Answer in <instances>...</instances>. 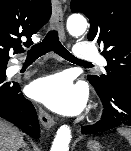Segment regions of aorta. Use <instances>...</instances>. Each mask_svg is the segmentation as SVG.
<instances>
[{"label":"aorta","mask_w":131,"mask_h":151,"mask_svg":"<svg viewBox=\"0 0 131 151\" xmlns=\"http://www.w3.org/2000/svg\"><path fill=\"white\" fill-rule=\"evenodd\" d=\"M87 29V21L80 14H73L67 20V30L72 36H80ZM71 130L67 125H62L56 132L51 151H69Z\"/></svg>","instance_id":"aorta-1"}]
</instances>
